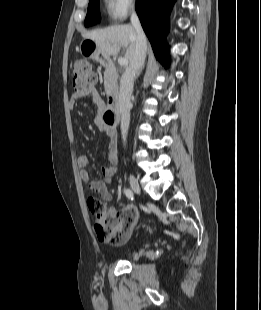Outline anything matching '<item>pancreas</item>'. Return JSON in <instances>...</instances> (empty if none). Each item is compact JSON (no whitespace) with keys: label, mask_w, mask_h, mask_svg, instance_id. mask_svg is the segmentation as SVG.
Returning <instances> with one entry per match:
<instances>
[{"label":"pancreas","mask_w":261,"mask_h":310,"mask_svg":"<svg viewBox=\"0 0 261 310\" xmlns=\"http://www.w3.org/2000/svg\"><path fill=\"white\" fill-rule=\"evenodd\" d=\"M118 76L106 71L104 74V87L107 94H111L117 85Z\"/></svg>","instance_id":"pancreas-1"}]
</instances>
